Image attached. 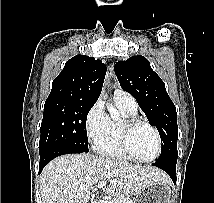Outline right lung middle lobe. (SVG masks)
Returning a JSON list of instances; mask_svg holds the SVG:
<instances>
[{
	"label": "right lung middle lobe",
	"instance_id": "dd1d6c3e",
	"mask_svg": "<svg viewBox=\"0 0 214 203\" xmlns=\"http://www.w3.org/2000/svg\"><path fill=\"white\" fill-rule=\"evenodd\" d=\"M94 103L69 100H46L39 153L65 146L88 152L86 119Z\"/></svg>",
	"mask_w": 214,
	"mask_h": 203
}]
</instances>
